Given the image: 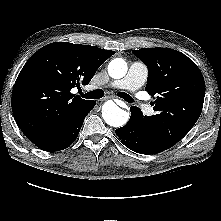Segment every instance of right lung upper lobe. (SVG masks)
Returning <instances> with one entry per match:
<instances>
[{
  "mask_svg": "<svg viewBox=\"0 0 221 221\" xmlns=\"http://www.w3.org/2000/svg\"><path fill=\"white\" fill-rule=\"evenodd\" d=\"M115 52L96 46L55 42L35 52L19 73L12 92V112L25 136L36 143L64 127L89 106L70 93L87 85Z\"/></svg>",
  "mask_w": 221,
  "mask_h": 221,
  "instance_id": "obj_1",
  "label": "right lung upper lobe"
}]
</instances>
